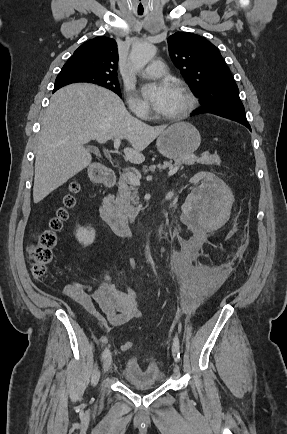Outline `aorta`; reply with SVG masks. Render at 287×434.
Wrapping results in <instances>:
<instances>
[{
    "mask_svg": "<svg viewBox=\"0 0 287 434\" xmlns=\"http://www.w3.org/2000/svg\"><path fill=\"white\" fill-rule=\"evenodd\" d=\"M157 48L152 44H138L132 47L130 60L135 71L143 69L155 56ZM147 261H151L149 246H146Z\"/></svg>",
    "mask_w": 287,
    "mask_h": 434,
    "instance_id": "1",
    "label": "aorta"
}]
</instances>
